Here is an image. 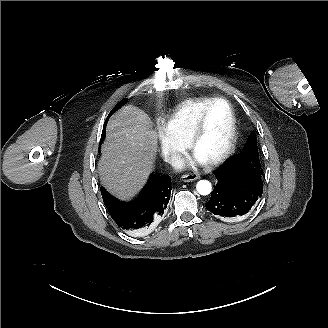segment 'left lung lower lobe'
Listing matches in <instances>:
<instances>
[{
  "label": "left lung lower lobe",
  "mask_w": 328,
  "mask_h": 328,
  "mask_svg": "<svg viewBox=\"0 0 328 328\" xmlns=\"http://www.w3.org/2000/svg\"><path fill=\"white\" fill-rule=\"evenodd\" d=\"M257 168L243 163L241 158H230L213 172L218 183L206 208L222 220L245 216L262 196V172L259 174Z\"/></svg>",
  "instance_id": "1"
}]
</instances>
